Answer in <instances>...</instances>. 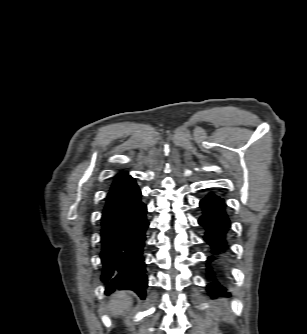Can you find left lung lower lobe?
<instances>
[{
  "instance_id": "obj_1",
  "label": "left lung lower lobe",
  "mask_w": 307,
  "mask_h": 334,
  "mask_svg": "<svg viewBox=\"0 0 307 334\" xmlns=\"http://www.w3.org/2000/svg\"><path fill=\"white\" fill-rule=\"evenodd\" d=\"M203 215L199 219V224L204 226L206 232L204 241L211 247V254L207 259V276L212 281L207 285V291L214 297L218 294H225L226 289L217 281L211 262L217 259L221 253L229 250L227 234L231 226L228 215L225 211V203L222 198L215 194H208L200 202Z\"/></svg>"
}]
</instances>
